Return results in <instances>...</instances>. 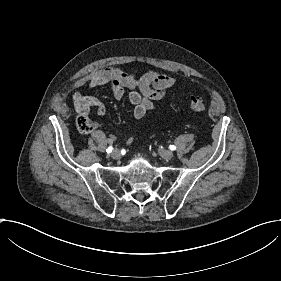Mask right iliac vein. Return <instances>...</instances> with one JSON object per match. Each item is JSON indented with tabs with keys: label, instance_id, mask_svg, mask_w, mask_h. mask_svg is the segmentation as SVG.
<instances>
[{
	"label": "right iliac vein",
	"instance_id": "63e3f726",
	"mask_svg": "<svg viewBox=\"0 0 281 281\" xmlns=\"http://www.w3.org/2000/svg\"><path fill=\"white\" fill-rule=\"evenodd\" d=\"M112 156H113L114 160H116V161H119V160H121V158H122L121 153H119V152H117V151H114V152L112 153Z\"/></svg>",
	"mask_w": 281,
	"mask_h": 281
}]
</instances>
